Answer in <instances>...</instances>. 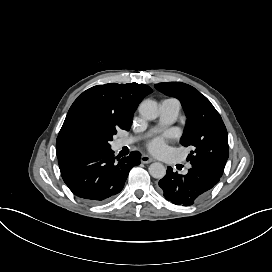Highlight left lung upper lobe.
I'll list each match as a JSON object with an SVG mask.
<instances>
[{"label": "left lung upper lobe", "mask_w": 272, "mask_h": 272, "mask_svg": "<svg viewBox=\"0 0 272 272\" xmlns=\"http://www.w3.org/2000/svg\"><path fill=\"white\" fill-rule=\"evenodd\" d=\"M155 88L167 96L179 99L183 106L187 124L180 141L185 147H194L187 161L222 176L229 156L228 136L214 106L198 90L185 83H158Z\"/></svg>", "instance_id": "5c2ea615"}]
</instances>
